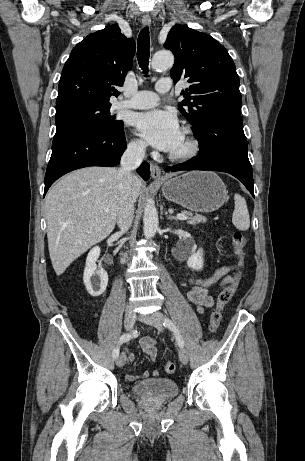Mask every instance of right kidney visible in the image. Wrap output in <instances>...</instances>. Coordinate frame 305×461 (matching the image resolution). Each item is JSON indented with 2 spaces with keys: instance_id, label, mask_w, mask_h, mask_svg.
I'll return each instance as SVG.
<instances>
[{
  "instance_id": "right-kidney-1",
  "label": "right kidney",
  "mask_w": 305,
  "mask_h": 461,
  "mask_svg": "<svg viewBox=\"0 0 305 461\" xmlns=\"http://www.w3.org/2000/svg\"><path fill=\"white\" fill-rule=\"evenodd\" d=\"M100 256V247L95 246L90 250L86 259L83 281L87 292L91 296L101 295L107 288L108 274L104 269L97 270L96 261Z\"/></svg>"
}]
</instances>
